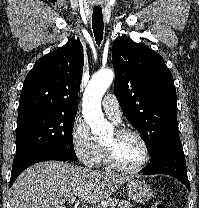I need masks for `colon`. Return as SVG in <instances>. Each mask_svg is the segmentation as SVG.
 Returning <instances> with one entry per match:
<instances>
[{
    "label": "colon",
    "instance_id": "obj_1",
    "mask_svg": "<svg viewBox=\"0 0 199 208\" xmlns=\"http://www.w3.org/2000/svg\"><path fill=\"white\" fill-rule=\"evenodd\" d=\"M151 208H168V207L163 201L156 200L151 203Z\"/></svg>",
    "mask_w": 199,
    "mask_h": 208
}]
</instances>
